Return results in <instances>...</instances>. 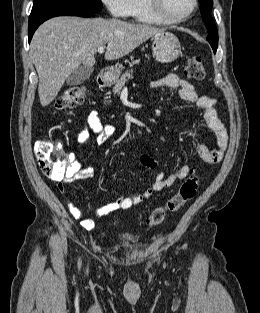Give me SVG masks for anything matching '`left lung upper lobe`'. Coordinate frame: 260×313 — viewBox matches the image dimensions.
Here are the masks:
<instances>
[{"label":"left lung upper lobe","instance_id":"left-lung-upper-lobe-1","mask_svg":"<svg viewBox=\"0 0 260 313\" xmlns=\"http://www.w3.org/2000/svg\"><path fill=\"white\" fill-rule=\"evenodd\" d=\"M201 4V14L204 18V23L208 30V37L207 40L210 43L214 53L217 50V43H218V32L214 23V20L211 16V9L213 7V0H199Z\"/></svg>","mask_w":260,"mask_h":313}]
</instances>
